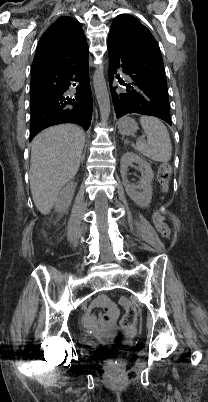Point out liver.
Segmentation results:
<instances>
[{
	"label": "liver",
	"mask_w": 208,
	"mask_h": 402,
	"mask_svg": "<svg viewBox=\"0 0 208 402\" xmlns=\"http://www.w3.org/2000/svg\"><path fill=\"white\" fill-rule=\"evenodd\" d=\"M84 144V132L73 124L47 128L31 142V194L44 216L51 212L61 188L76 176Z\"/></svg>",
	"instance_id": "liver-1"
}]
</instances>
